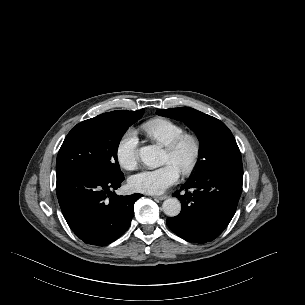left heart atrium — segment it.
Here are the masks:
<instances>
[{"instance_id": "39dd6f15", "label": "left heart atrium", "mask_w": 305, "mask_h": 305, "mask_svg": "<svg viewBox=\"0 0 305 305\" xmlns=\"http://www.w3.org/2000/svg\"><path fill=\"white\" fill-rule=\"evenodd\" d=\"M181 170L173 163L162 167L146 169L131 176L129 183L134 191L146 194H161L175 185L180 178Z\"/></svg>"}]
</instances>
